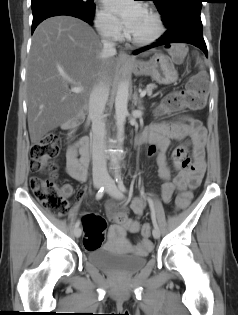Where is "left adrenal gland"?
<instances>
[{
  "label": "left adrenal gland",
  "mask_w": 238,
  "mask_h": 315,
  "mask_svg": "<svg viewBox=\"0 0 238 315\" xmlns=\"http://www.w3.org/2000/svg\"><path fill=\"white\" fill-rule=\"evenodd\" d=\"M133 103H134L135 106L138 105L139 109H143L142 106H141V100H140V98H138V94H137L136 90H135L134 96H133Z\"/></svg>",
  "instance_id": "1"
}]
</instances>
